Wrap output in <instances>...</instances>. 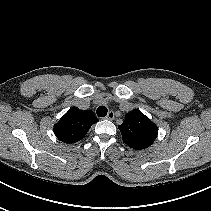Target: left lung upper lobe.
<instances>
[{
    "label": "left lung upper lobe",
    "mask_w": 211,
    "mask_h": 211,
    "mask_svg": "<svg viewBox=\"0 0 211 211\" xmlns=\"http://www.w3.org/2000/svg\"><path fill=\"white\" fill-rule=\"evenodd\" d=\"M118 128L123 141L135 150L152 145L158 134L157 126L138 109L127 113L125 121Z\"/></svg>",
    "instance_id": "left-lung-upper-lobe-1"
}]
</instances>
